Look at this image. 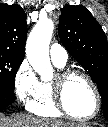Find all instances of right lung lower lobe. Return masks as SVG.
Wrapping results in <instances>:
<instances>
[{
	"mask_svg": "<svg viewBox=\"0 0 108 127\" xmlns=\"http://www.w3.org/2000/svg\"><path fill=\"white\" fill-rule=\"evenodd\" d=\"M14 100H15V94H10L0 90V109L9 106L14 102Z\"/></svg>",
	"mask_w": 108,
	"mask_h": 127,
	"instance_id": "obj_1",
	"label": "right lung lower lobe"
}]
</instances>
